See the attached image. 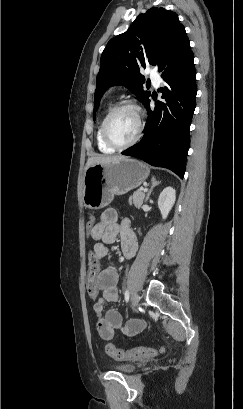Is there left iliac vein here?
Segmentation results:
<instances>
[{"instance_id": "left-iliac-vein-1", "label": "left iliac vein", "mask_w": 243, "mask_h": 409, "mask_svg": "<svg viewBox=\"0 0 243 409\" xmlns=\"http://www.w3.org/2000/svg\"><path fill=\"white\" fill-rule=\"evenodd\" d=\"M139 303V297L137 295H134L132 298V307L135 309L137 308Z\"/></svg>"}]
</instances>
